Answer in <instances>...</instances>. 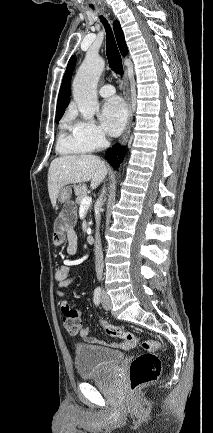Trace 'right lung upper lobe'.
<instances>
[{"instance_id": "right-lung-upper-lobe-1", "label": "right lung upper lobe", "mask_w": 213, "mask_h": 433, "mask_svg": "<svg viewBox=\"0 0 213 433\" xmlns=\"http://www.w3.org/2000/svg\"><path fill=\"white\" fill-rule=\"evenodd\" d=\"M114 32L117 39V43L120 52L123 56L128 53V48L124 39V34L118 21L114 22ZM76 63V57L72 56L68 62L65 75L63 77L62 85L58 95L57 108H56V120H60L64 111L69 103L70 98V82L73 73V69Z\"/></svg>"}]
</instances>
